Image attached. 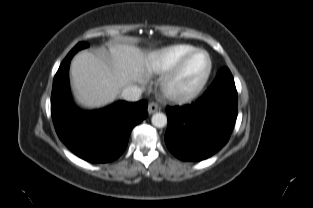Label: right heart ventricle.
Here are the masks:
<instances>
[{
	"mask_svg": "<svg viewBox=\"0 0 313 208\" xmlns=\"http://www.w3.org/2000/svg\"><path fill=\"white\" fill-rule=\"evenodd\" d=\"M195 48L190 45L176 44L164 47L151 54L147 73L149 75H162L167 74L173 70L179 62L194 51Z\"/></svg>",
	"mask_w": 313,
	"mask_h": 208,
	"instance_id": "1",
	"label": "right heart ventricle"
}]
</instances>
